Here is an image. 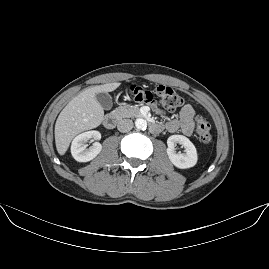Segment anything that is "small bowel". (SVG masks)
Returning a JSON list of instances; mask_svg holds the SVG:
<instances>
[{
    "instance_id": "small-bowel-1",
    "label": "small bowel",
    "mask_w": 269,
    "mask_h": 269,
    "mask_svg": "<svg viewBox=\"0 0 269 269\" xmlns=\"http://www.w3.org/2000/svg\"><path fill=\"white\" fill-rule=\"evenodd\" d=\"M194 115V108L191 105L186 104L181 108L178 117L166 124V129L171 133L180 131L182 134L190 136L193 133L195 126Z\"/></svg>"
}]
</instances>
